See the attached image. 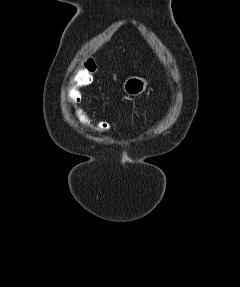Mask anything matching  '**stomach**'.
Returning a JSON list of instances; mask_svg holds the SVG:
<instances>
[{
  "mask_svg": "<svg viewBox=\"0 0 240 287\" xmlns=\"http://www.w3.org/2000/svg\"><path fill=\"white\" fill-rule=\"evenodd\" d=\"M147 84L144 78L132 76L124 81L123 90L128 96H138L146 90Z\"/></svg>",
  "mask_w": 240,
  "mask_h": 287,
  "instance_id": "obj_1",
  "label": "stomach"
}]
</instances>
